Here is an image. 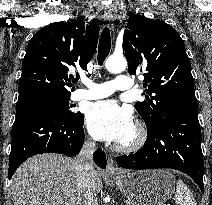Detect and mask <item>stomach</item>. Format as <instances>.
Listing matches in <instances>:
<instances>
[{"label":"stomach","instance_id":"stomach-1","mask_svg":"<svg viewBox=\"0 0 212 205\" xmlns=\"http://www.w3.org/2000/svg\"><path fill=\"white\" fill-rule=\"evenodd\" d=\"M130 205H165L175 188V178L168 171L138 170L113 176Z\"/></svg>","mask_w":212,"mask_h":205}]
</instances>
